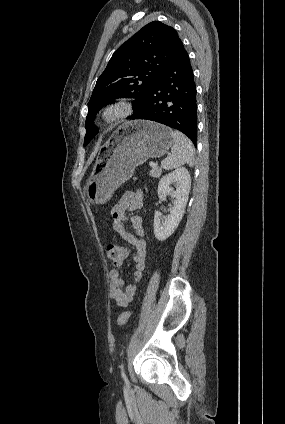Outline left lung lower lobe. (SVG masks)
<instances>
[{
    "mask_svg": "<svg viewBox=\"0 0 285 424\" xmlns=\"http://www.w3.org/2000/svg\"><path fill=\"white\" fill-rule=\"evenodd\" d=\"M129 119L155 121L187 135L196 146L197 103L194 74L180 40L167 66Z\"/></svg>",
    "mask_w": 285,
    "mask_h": 424,
    "instance_id": "1",
    "label": "left lung lower lobe"
}]
</instances>
